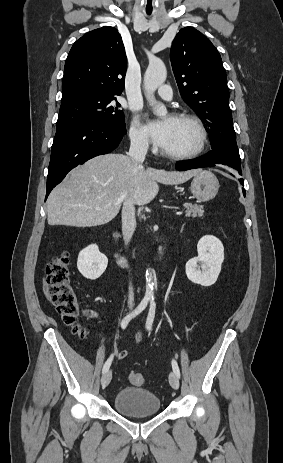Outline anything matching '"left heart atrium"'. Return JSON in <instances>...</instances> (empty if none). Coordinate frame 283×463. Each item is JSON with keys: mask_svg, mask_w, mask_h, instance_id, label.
Masks as SVG:
<instances>
[{"mask_svg": "<svg viewBox=\"0 0 283 463\" xmlns=\"http://www.w3.org/2000/svg\"><path fill=\"white\" fill-rule=\"evenodd\" d=\"M170 124L169 120H149L146 131L152 142L162 148L168 139Z\"/></svg>", "mask_w": 283, "mask_h": 463, "instance_id": "left-heart-atrium-1", "label": "left heart atrium"}]
</instances>
